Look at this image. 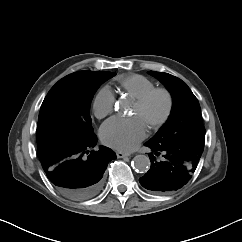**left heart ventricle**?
I'll return each instance as SVG.
<instances>
[{
	"mask_svg": "<svg viewBox=\"0 0 242 242\" xmlns=\"http://www.w3.org/2000/svg\"><path fill=\"white\" fill-rule=\"evenodd\" d=\"M166 110V99L163 95H157L146 105L140 106L136 102L131 105L133 116L138 118L145 127L162 117Z\"/></svg>",
	"mask_w": 242,
	"mask_h": 242,
	"instance_id": "1",
	"label": "left heart ventricle"
}]
</instances>
